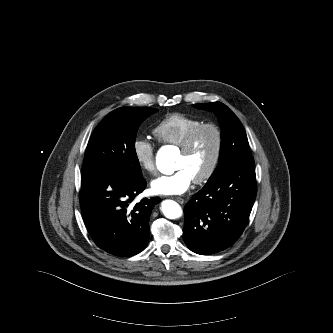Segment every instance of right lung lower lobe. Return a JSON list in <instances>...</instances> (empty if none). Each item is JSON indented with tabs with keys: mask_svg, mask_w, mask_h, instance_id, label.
Here are the masks:
<instances>
[{
	"mask_svg": "<svg viewBox=\"0 0 333 333\" xmlns=\"http://www.w3.org/2000/svg\"><path fill=\"white\" fill-rule=\"evenodd\" d=\"M80 203L86 227L93 241L116 256L141 252L149 238V217L159 197L134 198L146 187L143 177L119 171H84Z\"/></svg>",
	"mask_w": 333,
	"mask_h": 333,
	"instance_id": "obj_1",
	"label": "right lung lower lobe"
}]
</instances>
